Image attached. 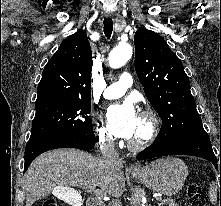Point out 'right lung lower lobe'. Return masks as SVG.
Returning <instances> with one entry per match:
<instances>
[{
	"label": "right lung lower lobe",
	"instance_id": "right-lung-lower-lobe-1",
	"mask_svg": "<svg viewBox=\"0 0 221 206\" xmlns=\"http://www.w3.org/2000/svg\"><path fill=\"white\" fill-rule=\"evenodd\" d=\"M95 146V135L92 134H66L50 135L30 139L25 149L24 172L31 162L41 153L56 148H77L89 151Z\"/></svg>",
	"mask_w": 221,
	"mask_h": 206
}]
</instances>
